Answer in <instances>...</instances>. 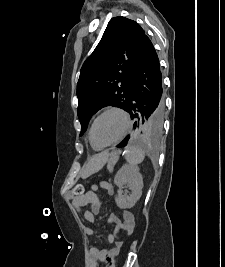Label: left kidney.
<instances>
[{"label": "left kidney", "instance_id": "1", "mask_svg": "<svg viewBox=\"0 0 225 267\" xmlns=\"http://www.w3.org/2000/svg\"><path fill=\"white\" fill-rule=\"evenodd\" d=\"M115 185L119 188L115 198L116 204L121 209H130L140 199L143 188V178L136 166L124 165L114 178ZM127 185L131 190L129 196H124L122 188Z\"/></svg>", "mask_w": 225, "mask_h": 267}]
</instances>
